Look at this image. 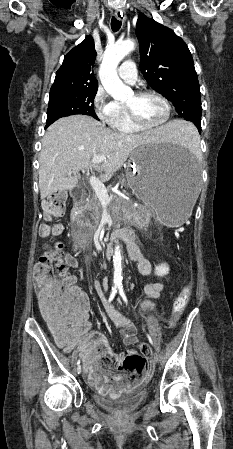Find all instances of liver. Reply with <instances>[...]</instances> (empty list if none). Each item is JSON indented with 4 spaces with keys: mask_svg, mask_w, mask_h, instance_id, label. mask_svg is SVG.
Instances as JSON below:
<instances>
[{
    "mask_svg": "<svg viewBox=\"0 0 233 449\" xmlns=\"http://www.w3.org/2000/svg\"><path fill=\"white\" fill-rule=\"evenodd\" d=\"M179 131V121L128 135L112 131L90 116L61 118L48 127L42 141L39 158L41 199L73 189L78 183L76 173L83 169H95L101 173V179L107 181L139 146L149 142H172ZM98 155H106L107 159L102 164L92 163V158ZM70 172H75L74 176Z\"/></svg>",
    "mask_w": 233,
    "mask_h": 449,
    "instance_id": "liver-1",
    "label": "liver"
}]
</instances>
